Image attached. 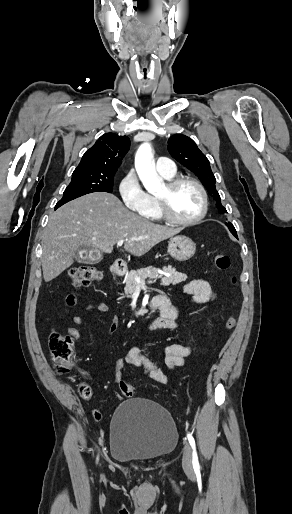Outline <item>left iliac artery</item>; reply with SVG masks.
<instances>
[{
  "instance_id": "obj_1",
  "label": "left iliac artery",
  "mask_w": 292,
  "mask_h": 514,
  "mask_svg": "<svg viewBox=\"0 0 292 514\" xmlns=\"http://www.w3.org/2000/svg\"><path fill=\"white\" fill-rule=\"evenodd\" d=\"M187 438H188V441L192 447V450H193V453H192V456H193V468L194 469H199V462H198V456H197V452H196V445H195V440L193 438V436L191 434H187Z\"/></svg>"
}]
</instances>
